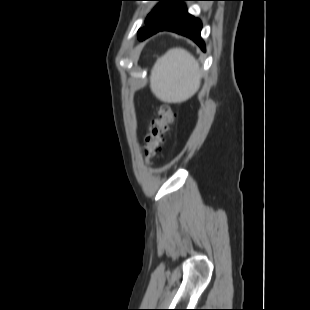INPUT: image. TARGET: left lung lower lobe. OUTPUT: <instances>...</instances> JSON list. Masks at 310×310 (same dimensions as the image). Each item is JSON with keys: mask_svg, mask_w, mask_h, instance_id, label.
<instances>
[{"mask_svg": "<svg viewBox=\"0 0 310 310\" xmlns=\"http://www.w3.org/2000/svg\"><path fill=\"white\" fill-rule=\"evenodd\" d=\"M201 28L202 24L200 20L188 14L185 8L169 25L159 29L153 34L163 30L172 31L192 39L203 51H205L204 42L200 37Z\"/></svg>", "mask_w": 310, "mask_h": 310, "instance_id": "0a47b994", "label": "left lung lower lobe"}]
</instances>
